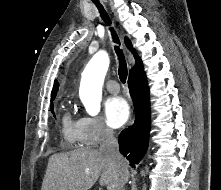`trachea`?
<instances>
[{
	"label": "trachea",
	"instance_id": "obj_1",
	"mask_svg": "<svg viewBox=\"0 0 221 190\" xmlns=\"http://www.w3.org/2000/svg\"><path fill=\"white\" fill-rule=\"evenodd\" d=\"M95 4L96 6L98 7L99 9V12L101 14V17L102 19L104 20V22L110 26L111 25V20L107 14V12L105 11V9L103 8L102 5L99 4V2L95 1ZM111 30V34H112V38H113V42L116 44L114 46V49H115V52L118 56V59H119V69H118V73H119V78H120V81L122 83H125L126 82V79H127V74H128V71H127V64H126V61H125V58H124V55H123V51L122 49H120V47L118 45H120V41H119V38L116 34V32L113 30V28H110ZM118 44V45H117Z\"/></svg>",
	"mask_w": 221,
	"mask_h": 190
}]
</instances>
